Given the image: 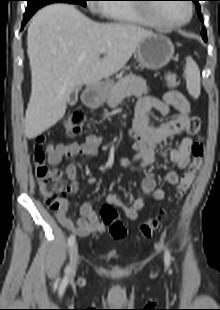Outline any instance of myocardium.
Returning a JSON list of instances; mask_svg holds the SVG:
<instances>
[{"mask_svg": "<svg viewBox=\"0 0 220 310\" xmlns=\"http://www.w3.org/2000/svg\"><path fill=\"white\" fill-rule=\"evenodd\" d=\"M187 9H188V15L185 19L178 21V22H168L165 21L161 18H159L157 15H152L150 14V10L144 9V8H140L141 12H143L144 14H146L147 16H150L154 22L157 24V26L159 27H163V28H179L182 27L183 25L187 24L193 15V7L190 3L186 4Z\"/></svg>", "mask_w": 220, "mask_h": 310, "instance_id": "1", "label": "myocardium"}]
</instances>
